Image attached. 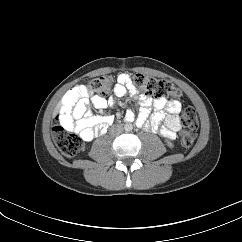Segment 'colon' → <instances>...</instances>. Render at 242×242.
Returning a JSON list of instances; mask_svg holds the SVG:
<instances>
[{
    "mask_svg": "<svg viewBox=\"0 0 242 242\" xmlns=\"http://www.w3.org/2000/svg\"><path fill=\"white\" fill-rule=\"evenodd\" d=\"M135 87L144 95H152L155 98H179L181 91L171 82L144 74L134 76ZM113 86V77L104 74L87 82V89L101 96L108 95ZM53 127L54 141L66 157H74L82 149V140L66 129L61 123V115L55 117ZM182 130L179 133V142L184 148H189L196 137L198 129V117L195 109L188 107L181 115Z\"/></svg>",
    "mask_w": 242,
    "mask_h": 242,
    "instance_id": "colon-1",
    "label": "colon"
}]
</instances>
